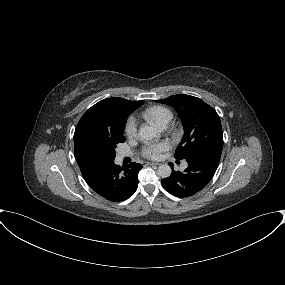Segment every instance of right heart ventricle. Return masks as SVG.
I'll list each match as a JSON object with an SVG mask.
<instances>
[{"label": "right heart ventricle", "mask_w": 285, "mask_h": 285, "mask_svg": "<svg viewBox=\"0 0 285 285\" xmlns=\"http://www.w3.org/2000/svg\"><path fill=\"white\" fill-rule=\"evenodd\" d=\"M143 116L153 121L159 127L172 119V112L164 106H153L143 112Z\"/></svg>", "instance_id": "e07e8e85"}]
</instances>
